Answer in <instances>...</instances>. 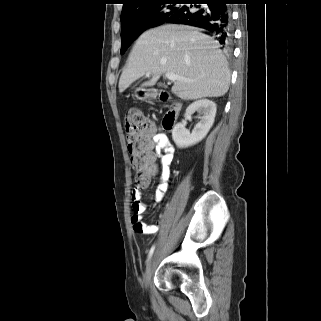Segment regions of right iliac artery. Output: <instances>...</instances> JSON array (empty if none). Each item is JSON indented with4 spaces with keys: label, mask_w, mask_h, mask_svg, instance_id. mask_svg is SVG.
Instances as JSON below:
<instances>
[{
    "label": "right iliac artery",
    "mask_w": 321,
    "mask_h": 321,
    "mask_svg": "<svg viewBox=\"0 0 321 321\" xmlns=\"http://www.w3.org/2000/svg\"><path fill=\"white\" fill-rule=\"evenodd\" d=\"M155 247H156V245L154 244V245L151 247V249L149 250L147 261H148V260L151 258V256L153 255V252H154V250H155Z\"/></svg>",
    "instance_id": "82829eb1"
}]
</instances>
